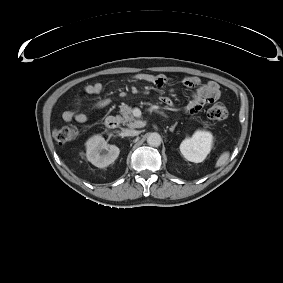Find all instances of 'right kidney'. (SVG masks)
Masks as SVG:
<instances>
[{"label": "right kidney", "mask_w": 283, "mask_h": 283, "mask_svg": "<svg viewBox=\"0 0 283 283\" xmlns=\"http://www.w3.org/2000/svg\"><path fill=\"white\" fill-rule=\"evenodd\" d=\"M120 150L115 145L107 144L100 135H94L86 142V156L94 166L104 168L112 164L119 156Z\"/></svg>", "instance_id": "1"}]
</instances>
